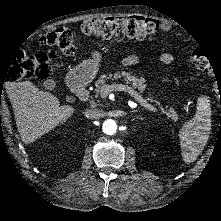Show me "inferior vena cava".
<instances>
[{
  "instance_id": "1",
  "label": "inferior vena cava",
  "mask_w": 221,
  "mask_h": 221,
  "mask_svg": "<svg viewBox=\"0 0 221 221\" xmlns=\"http://www.w3.org/2000/svg\"><path fill=\"white\" fill-rule=\"evenodd\" d=\"M85 116L90 120H98L104 116V112L98 108L87 109Z\"/></svg>"
}]
</instances>
